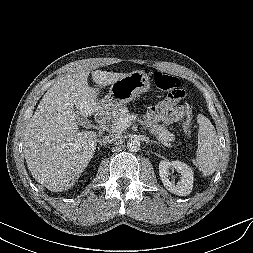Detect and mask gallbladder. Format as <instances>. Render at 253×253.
Listing matches in <instances>:
<instances>
[{"label": "gallbladder", "mask_w": 253, "mask_h": 253, "mask_svg": "<svg viewBox=\"0 0 253 253\" xmlns=\"http://www.w3.org/2000/svg\"><path fill=\"white\" fill-rule=\"evenodd\" d=\"M76 122L85 128L91 127V122L84 116L78 115V118L76 119Z\"/></svg>", "instance_id": "1"}]
</instances>
